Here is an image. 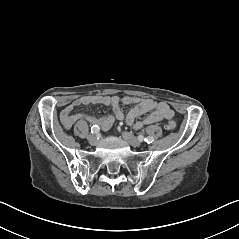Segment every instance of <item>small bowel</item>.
<instances>
[{
	"mask_svg": "<svg viewBox=\"0 0 239 239\" xmlns=\"http://www.w3.org/2000/svg\"><path fill=\"white\" fill-rule=\"evenodd\" d=\"M120 102L125 105H131L130 111L125 116ZM106 105L112 109V114L105 117H96L84 113H73L74 109L82 105ZM148 113V114H147ZM147 114V116L138 121V118ZM174 116V111L164 101H156L149 98H138L125 96L119 98L118 96H103V95H89L83 96L67 105L61 112V122L66 129H69L79 120H85L92 125H97L103 130L109 129L116 120L120 121L126 118L129 125L134 128H141L164 119H171Z\"/></svg>",
	"mask_w": 239,
	"mask_h": 239,
	"instance_id": "1",
	"label": "small bowel"
}]
</instances>
